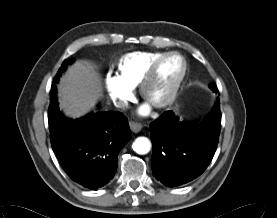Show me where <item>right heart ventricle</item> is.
<instances>
[{
    "label": "right heart ventricle",
    "mask_w": 277,
    "mask_h": 218,
    "mask_svg": "<svg viewBox=\"0 0 277 218\" xmlns=\"http://www.w3.org/2000/svg\"><path fill=\"white\" fill-rule=\"evenodd\" d=\"M163 52H133L125 55L119 63L120 77L129 87L140 85L150 64Z\"/></svg>",
    "instance_id": "1"
}]
</instances>
